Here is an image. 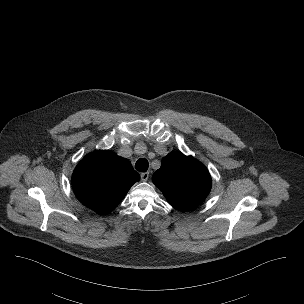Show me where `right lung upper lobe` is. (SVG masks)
Listing matches in <instances>:
<instances>
[{
  "label": "right lung upper lobe",
  "mask_w": 304,
  "mask_h": 304,
  "mask_svg": "<svg viewBox=\"0 0 304 304\" xmlns=\"http://www.w3.org/2000/svg\"><path fill=\"white\" fill-rule=\"evenodd\" d=\"M140 180L129 160L108 150L86 155L72 175L74 193L91 210L108 214Z\"/></svg>",
  "instance_id": "cb5924a9"
}]
</instances>
